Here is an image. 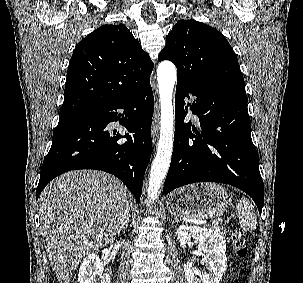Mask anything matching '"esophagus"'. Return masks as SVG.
<instances>
[{"label": "esophagus", "instance_id": "34e87169", "mask_svg": "<svg viewBox=\"0 0 303 283\" xmlns=\"http://www.w3.org/2000/svg\"><path fill=\"white\" fill-rule=\"evenodd\" d=\"M158 130H159V111H158V105L156 104L155 113H154L153 122H152V142H153V144L156 143V139L158 136Z\"/></svg>", "mask_w": 303, "mask_h": 283}]
</instances>
